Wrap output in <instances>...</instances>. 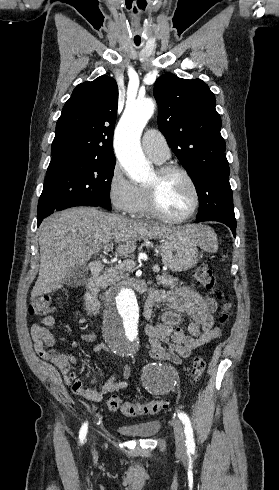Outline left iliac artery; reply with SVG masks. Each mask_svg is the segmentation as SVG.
Instances as JSON below:
<instances>
[{"mask_svg": "<svg viewBox=\"0 0 279 490\" xmlns=\"http://www.w3.org/2000/svg\"><path fill=\"white\" fill-rule=\"evenodd\" d=\"M179 419L185 426V435H186V446L188 450H195V443L193 438V430L191 428V423L189 417L184 412L178 413Z\"/></svg>", "mask_w": 279, "mask_h": 490, "instance_id": "44dca946", "label": "left iliac artery"}]
</instances>
